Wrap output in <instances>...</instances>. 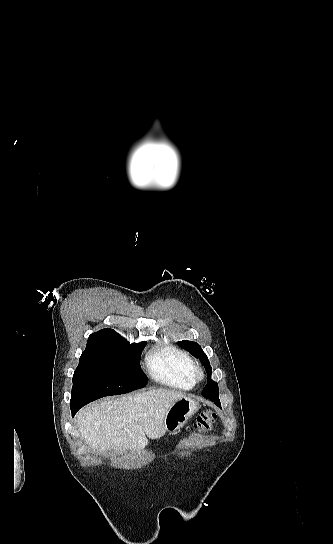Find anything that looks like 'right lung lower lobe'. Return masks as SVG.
<instances>
[{"label": "right lung lower lobe", "instance_id": "1", "mask_svg": "<svg viewBox=\"0 0 333 544\" xmlns=\"http://www.w3.org/2000/svg\"><path fill=\"white\" fill-rule=\"evenodd\" d=\"M80 408H81L80 406H72V407H71L72 416H74V415L76 414V412H77Z\"/></svg>", "mask_w": 333, "mask_h": 544}]
</instances>
